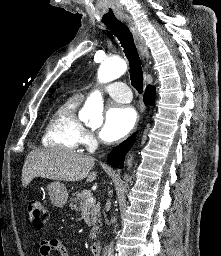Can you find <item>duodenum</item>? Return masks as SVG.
Instances as JSON below:
<instances>
[{
  "label": "duodenum",
  "mask_w": 221,
  "mask_h": 256,
  "mask_svg": "<svg viewBox=\"0 0 221 256\" xmlns=\"http://www.w3.org/2000/svg\"><path fill=\"white\" fill-rule=\"evenodd\" d=\"M90 249L93 256H100L101 244L99 242H93L90 246Z\"/></svg>",
  "instance_id": "duodenum-1"
}]
</instances>
